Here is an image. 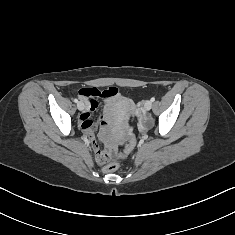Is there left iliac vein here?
Returning <instances> with one entry per match:
<instances>
[{
  "label": "left iliac vein",
  "mask_w": 235,
  "mask_h": 235,
  "mask_svg": "<svg viewBox=\"0 0 235 235\" xmlns=\"http://www.w3.org/2000/svg\"><path fill=\"white\" fill-rule=\"evenodd\" d=\"M151 108H152V102H151V100H147V101L144 103V109H145L146 111H149Z\"/></svg>",
  "instance_id": "4c4485c4"
}]
</instances>
